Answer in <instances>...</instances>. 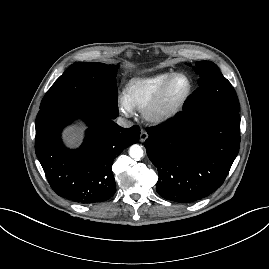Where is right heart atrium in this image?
<instances>
[{
	"mask_svg": "<svg viewBox=\"0 0 269 269\" xmlns=\"http://www.w3.org/2000/svg\"><path fill=\"white\" fill-rule=\"evenodd\" d=\"M117 104L120 112L125 116H130L133 114V108L129 105L124 96L118 97Z\"/></svg>",
	"mask_w": 269,
	"mask_h": 269,
	"instance_id": "1",
	"label": "right heart atrium"
}]
</instances>
